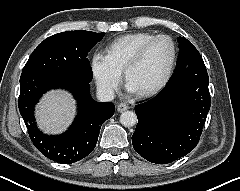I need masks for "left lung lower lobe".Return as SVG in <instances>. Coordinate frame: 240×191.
Masks as SVG:
<instances>
[{"label":"left lung lower lobe","instance_id":"1","mask_svg":"<svg viewBox=\"0 0 240 191\" xmlns=\"http://www.w3.org/2000/svg\"><path fill=\"white\" fill-rule=\"evenodd\" d=\"M208 83L206 70L177 66L156 97L135 106V151L157 164L170 163L191 152L210 109Z\"/></svg>","mask_w":240,"mask_h":191}]
</instances>
